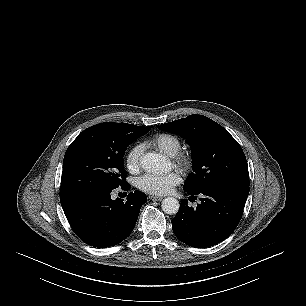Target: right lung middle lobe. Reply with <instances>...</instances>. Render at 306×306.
I'll return each instance as SVG.
<instances>
[{"label":"right lung middle lobe","instance_id":"dd1d6c3e","mask_svg":"<svg viewBox=\"0 0 306 306\" xmlns=\"http://www.w3.org/2000/svg\"><path fill=\"white\" fill-rule=\"evenodd\" d=\"M150 129L126 130L101 123L81 132L65 153L60 201L95 189H115L126 185L125 151L129 144Z\"/></svg>","mask_w":306,"mask_h":306}]
</instances>
